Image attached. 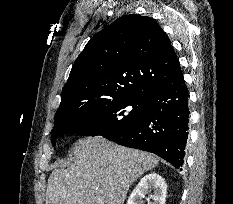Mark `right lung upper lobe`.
<instances>
[{"instance_id": "1", "label": "right lung upper lobe", "mask_w": 233, "mask_h": 204, "mask_svg": "<svg viewBox=\"0 0 233 204\" xmlns=\"http://www.w3.org/2000/svg\"><path fill=\"white\" fill-rule=\"evenodd\" d=\"M179 64L158 23L126 15L95 34L73 64L54 125L106 102L148 96Z\"/></svg>"}]
</instances>
